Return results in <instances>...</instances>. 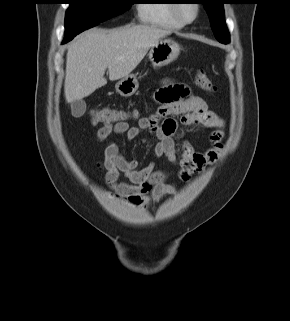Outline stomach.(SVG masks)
Wrapping results in <instances>:
<instances>
[{
	"mask_svg": "<svg viewBox=\"0 0 290 321\" xmlns=\"http://www.w3.org/2000/svg\"><path fill=\"white\" fill-rule=\"evenodd\" d=\"M180 46L171 39H160L149 51V60L154 68L168 65L180 54ZM139 83L135 75L130 74L120 79L116 85V91L124 97L132 96L138 89Z\"/></svg>",
	"mask_w": 290,
	"mask_h": 321,
	"instance_id": "obj_1",
	"label": "stomach"
}]
</instances>
